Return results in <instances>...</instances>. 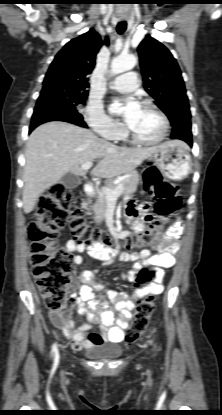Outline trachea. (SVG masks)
<instances>
[{"label":"trachea","mask_w":222,"mask_h":415,"mask_svg":"<svg viewBox=\"0 0 222 415\" xmlns=\"http://www.w3.org/2000/svg\"><path fill=\"white\" fill-rule=\"evenodd\" d=\"M126 28H127L126 21L119 22L118 25H117L118 34H123L125 32Z\"/></svg>","instance_id":"1"}]
</instances>
